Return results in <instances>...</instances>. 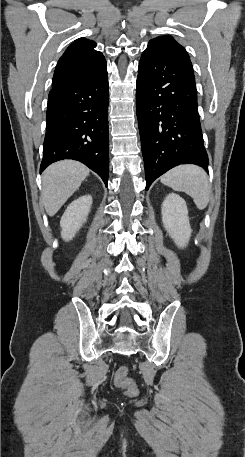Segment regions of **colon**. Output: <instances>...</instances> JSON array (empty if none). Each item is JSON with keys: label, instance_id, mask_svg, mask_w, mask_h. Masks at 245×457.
I'll return each mask as SVG.
<instances>
[{"label": "colon", "instance_id": "colon-1", "mask_svg": "<svg viewBox=\"0 0 245 457\" xmlns=\"http://www.w3.org/2000/svg\"><path fill=\"white\" fill-rule=\"evenodd\" d=\"M114 381L117 387L125 389L130 395H134L137 392L134 381L128 377V369L126 366H121L116 371Z\"/></svg>", "mask_w": 245, "mask_h": 457}]
</instances>
